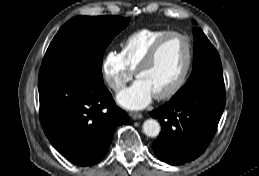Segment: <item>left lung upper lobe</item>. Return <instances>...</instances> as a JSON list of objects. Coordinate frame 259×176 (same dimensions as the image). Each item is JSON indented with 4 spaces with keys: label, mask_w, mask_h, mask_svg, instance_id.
Instances as JSON below:
<instances>
[{
    "label": "left lung upper lobe",
    "mask_w": 259,
    "mask_h": 176,
    "mask_svg": "<svg viewBox=\"0 0 259 176\" xmlns=\"http://www.w3.org/2000/svg\"><path fill=\"white\" fill-rule=\"evenodd\" d=\"M193 35V70L186 84L173 98L204 87L225 90L222 64L217 50L200 28H193Z\"/></svg>",
    "instance_id": "1"
}]
</instances>
